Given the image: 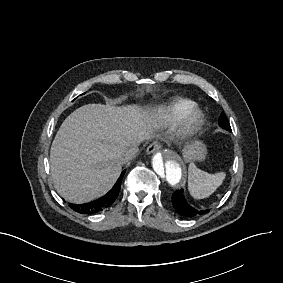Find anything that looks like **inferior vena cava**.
I'll return each mask as SVG.
<instances>
[{"mask_svg": "<svg viewBox=\"0 0 283 283\" xmlns=\"http://www.w3.org/2000/svg\"><path fill=\"white\" fill-rule=\"evenodd\" d=\"M138 151L139 149L137 146H130L126 148L123 152H121L118 155L117 159L120 161L121 164H125L128 161L134 159Z\"/></svg>", "mask_w": 283, "mask_h": 283, "instance_id": "obj_1", "label": "inferior vena cava"}]
</instances>
